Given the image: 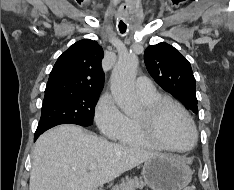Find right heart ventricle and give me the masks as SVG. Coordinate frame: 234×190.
Masks as SVG:
<instances>
[{
  "label": "right heart ventricle",
  "instance_id": "e07e8e85",
  "mask_svg": "<svg viewBox=\"0 0 234 190\" xmlns=\"http://www.w3.org/2000/svg\"><path fill=\"white\" fill-rule=\"evenodd\" d=\"M161 97L158 93H153L149 96H139L143 105H147L155 99ZM117 140L124 145L143 148L157 149L158 146L153 143L144 133L137 116H126L125 124L117 137Z\"/></svg>",
  "mask_w": 234,
  "mask_h": 190
}]
</instances>
